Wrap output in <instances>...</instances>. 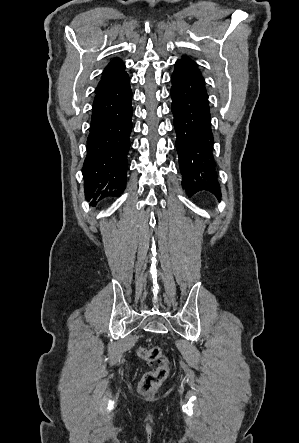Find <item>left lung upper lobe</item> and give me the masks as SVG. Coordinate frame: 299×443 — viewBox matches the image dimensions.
Instances as JSON below:
<instances>
[{"instance_id": "left-lung-upper-lobe-1", "label": "left lung upper lobe", "mask_w": 299, "mask_h": 443, "mask_svg": "<svg viewBox=\"0 0 299 443\" xmlns=\"http://www.w3.org/2000/svg\"><path fill=\"white\" fill-rule=\"evenodd\" d=\"M181 60L188 62L191 66L197 69L196 63L193 60H191L189 57L183 56Z\"/></svg>"}]
</instances>
